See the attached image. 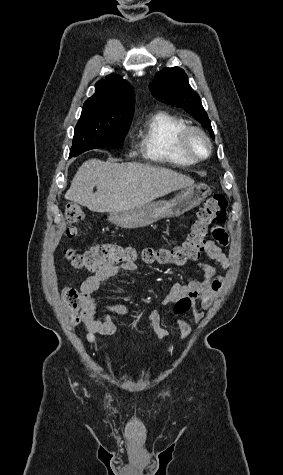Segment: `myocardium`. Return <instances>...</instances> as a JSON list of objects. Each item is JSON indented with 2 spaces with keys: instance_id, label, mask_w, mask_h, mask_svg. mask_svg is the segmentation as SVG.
Listing matches in <instances>:
<instances>
[{
  "instance_id": "obj_1",
  "label": "myocardium",
  "mask_w": 283,
  "mask_h": 475,
  "mask_svg": "<svg viewBox=\"0 0 283 475\" xmlns=\"http://www.w3.org/2000/svg\"><path fill=\"white\" fill-rule=\"evenodd\" d=\"M194 134L200 136L205 141L207 150L204 154L194 153L190 149L189 142H190L191 136ZM173 146L179 152H181L184 155V157L195 162L203 161L209 158L212 154V149H213L211 139L206 134V132L202 128L198 126H194V125H188L184 130H182L179 133V135L176 137L173 143ZM167 147L168 145H164L162 147V153H161L162 158L168 162H182V159L180 157L168 152Z\"/></svg>"
}]
</instances>
